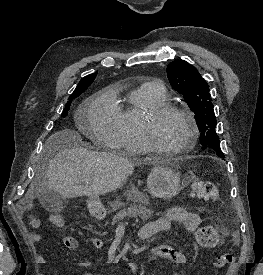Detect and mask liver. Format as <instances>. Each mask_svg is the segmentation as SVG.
<instances>
[{"label": "liver", "instance_id": "liver-1", "mask_svg": "<svg viewBox=\"0 0 263 275\" xmlns=\"http://www.w3.org/2000/svg\"><path fill=\"white\" fill-rule=\"evenodd\" d=\"M80 141V135L74 130H62L50 137L46 147L53 148L54 153L46 170V189L63 198L88 196L97 200L100 195L122 186L133 174L135 165L126 158L89 151L78 146ZM33 194L34 188H30L25 200H31Z\"/></svg>", "mask_w": 263, "mask_h": 275}]
</instances>
